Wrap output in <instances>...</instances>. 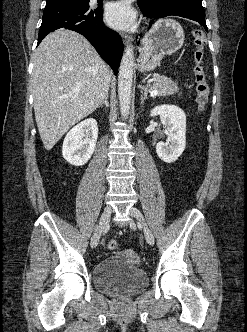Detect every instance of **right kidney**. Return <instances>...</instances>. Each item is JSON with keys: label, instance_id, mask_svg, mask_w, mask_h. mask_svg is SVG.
<instances>
[{"label": "right kidney", "instance_id": "1", "mask_svg": "<svg viewBox=\"0 0 247 332\" xmlns=\"http://www.w3.org/2000/svg\"><path fill=\"white\" fill-rule=\"evenodd\" d=\"M98 138L97 122L88 118L74 126L65 136L62 155L71 165L82 166L91 158Z\"/></svg>", "mask_w": 247, "mask_h": 332}]
</instances>
